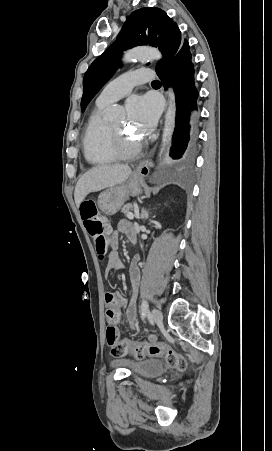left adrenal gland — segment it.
<instances>
[{"instance_id": "a2214340", "label": "left adrenal gland", "mask_w": 272, "mask_h": 451, "mask_svg": "<svg viewBox=\"0 0 272 451\" xmlns=\"http://www.w3.org/2000/svg\"><path fill=\"white\" fill-rule=\"evenodd\" d=\"M141 218H142V220H147V218H149V212H146V210H144V208H142Z\"/></svg>"}]
</instances>
